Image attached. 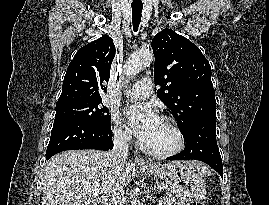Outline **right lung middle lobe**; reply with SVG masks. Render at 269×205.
Returning a JSON list of instances; mask_svg holds the SVG:
<instances>
[{"mask_svg": "<svg viewBox=\"0 0 269 205\" xmlns=\"http://www.w3.org/2000/svg\"><path fill=\"white\" fill-rule=\"evenodd\" d=\"M63 121H83L109 127V110L101 100L57 106L54 123Z\"/></svg>", "mask_w": 269, "mask_h": 205, "instance_id": "obj_1", "label": "right lung middle lobe"}]
</instances>
